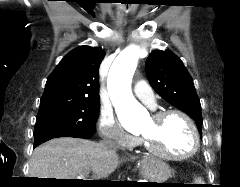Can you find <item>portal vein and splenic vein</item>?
<instances>
[{"instance_id": "obj_1", "label": "portal vein and splenic vein", "mask_w": 240, "mask_h": 187, "mask_svg": "<svg viewBox=\"0 0 240 187\" xmlns=\"http://www.w3.org/2000/svg\"><path fill=\"white\" fill-rule=\"evenodd\" d=\"M89 172L82 174L83 176L87 175Z\"/></svg>"}]
</instances>
